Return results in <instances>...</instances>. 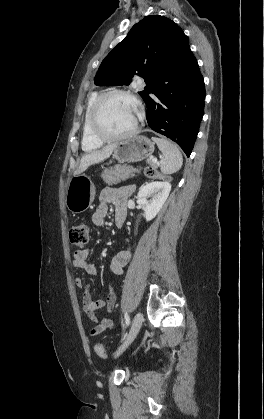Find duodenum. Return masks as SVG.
Wrapping results in <instances>:
<instances>
[{
  "label": "duodenum",
  "mask_w": 264,
  "mask_h": 419,
  "mask_svg": "<svg viewBox=\"0 0 264 419\" xmlns=\"http://www.w3.org/2000/svg\"><path fill=\"white\" fill-rule=\"evenodd\" d=\"M116 224H117L118 227H121L122 224H123V220L121 218H118L117 221H116Z\"/></svg>",
  "instance_id": "1"
}]
</instances>
